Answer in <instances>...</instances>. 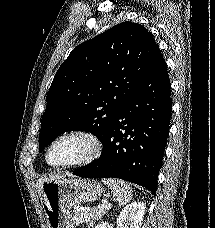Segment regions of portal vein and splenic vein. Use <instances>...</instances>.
<instances>
[{
    "instance_id": "obj_1",
    "label": "portal vein and splenic vein",
    "mask_w": 215,
    "mask_h": 228,
    "mask_svg": "<svg viewBox=\"0 0 215 228\" xmlns=\"http://www.w3.org/2000/svg\"><path fill=\"white\" fill-rule=\"evenodd\" d=\"M101 208H105V210H111L112 204H107V202H105V204H103V206H101Z\"/></svg>"
}]
</instances>
